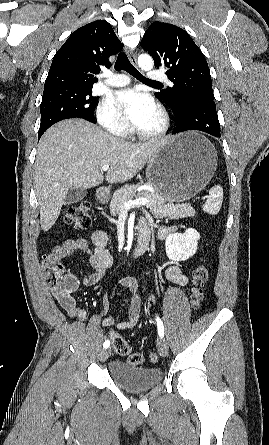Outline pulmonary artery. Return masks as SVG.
Masks as SVG:
<instances>
[{"label":"pulmonary artery","mask_w":269,"mask_h":445,"mask_svg":"<svg viewBox=\"0 0 269 445\" xmlns=\"http://www.w3.org/2000/svg\"><path fill=\"white\" fill-rule=\"evenodd\" d=\"M147 78L151 81H166L167 83H170L167 76L159 71L148 72ZM106 83L113 87H121L129 83V78L123 74H114L106 80Z\"/></svg>","instance_id":"1"}]
</instances>
